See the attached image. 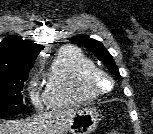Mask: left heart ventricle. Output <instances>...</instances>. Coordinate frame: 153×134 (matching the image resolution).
<instances>
[{"label": "left heart ventricle", "mask_w": 153, "mask_h": 134, "mask_svg": "<svg viewBox=\"0 0 153 134\" xmlns=\"http://www.w3.org/2000/svg\"><path fill=\"white\" fill-rule=\"evenodd\" d=\"M99 86L102 87V88H107L109 86V84L105 79L100 78L99 79Z\"/></svg>", "instance_id": "1"}]
</instances>
